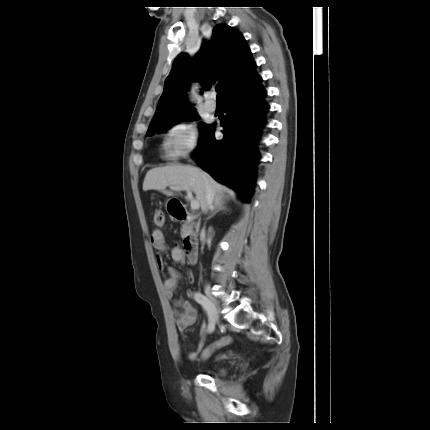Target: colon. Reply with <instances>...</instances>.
I'll return each instance as SVG.
<instances>
[{
  "instance_id": "1",
  "label": "colon",
  "mask_w": 430,
  "mask_h": 430,
  "mask_svg": "<svg viewBox=\"0 0 430 430\" xmlns=\"http://www.w3.org/2000/svg\"><path fill=\"white\" fill-rule=\"evenodd\" d=\"M164 213L160 210H157L154 214V223L157 226H162L164 224ZM231 342L230 336H224L220 338L219 340L213 342L211 345L207 346L203 353L201 354L202 360H206L210 357V355L213 353V351L219 347L228 345ZM227 357V354H219L216 359L221 360Z\"/></svg>"
}]
</instances>
